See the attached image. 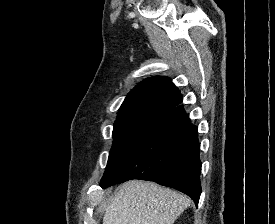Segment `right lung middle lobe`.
Segmentation results:
<instances>
[{
    "mask_svg": "<svg viewBox=\"0 0 275 224\" xmlns=\"http://www.w3.org/2000/svg\"><path fill=\"white\" fill-rule=\"evenodd\" d=\"M164 114L163 111L148 110L117 118L113 130L114 142L101 182L116 173Z\"/></svg>",
    "mask_w": 275,
    "mask_h": 224,
    "instance_id": "obj_1",
    "label": "right lung middle lobe"
}]
</instances>
